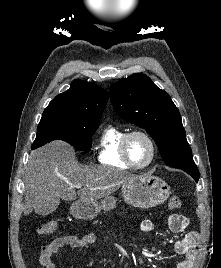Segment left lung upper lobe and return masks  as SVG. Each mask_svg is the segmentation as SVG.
<instances>
[{
  "instance_id": "obj_1",
  "label": "left lung upper lobe",
  "mask_w": 221,
  "mask_h": 268,
  "mask_svg": "<svg viewBox=\"0 0 221 268\" xmlns=\"http://www.w3.org/2000/svg\"><path fill=\"white\" fill-rule=\"evenodd\" d=\"M109 93L115 112L146 130L167 166H195L178 108L148 76L134 73L112 85Z\"/></svg>"
}]
</instances>
